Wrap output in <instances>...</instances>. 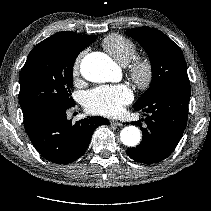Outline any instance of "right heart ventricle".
Segmentation results:
<instances>
[{"label":"right heart ventricle","instance_id":"right-heart-ventricle-1","mask_svg":"<svg viewBox=\"0 0 211 211\" xmlns=\"http://www.w3.org/2000/svg\"><path fill=\"white\" fill-rule=\"evenodd\" d=\"M102 45L113 59L123 66L128 65L137 54L136 44L120 34L108 35Z\"/></svg>","mask_w":211,"mask_h":211}]
</instances>
